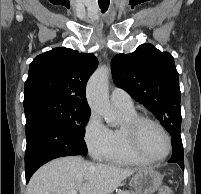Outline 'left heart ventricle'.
Here are the masks:
<instances>
[{
  "label": "left heart ventricle",
  "instance_id": "1",
  "mask_svg": "<svg viewBox=\"0 0 201 194\" xmlns=\"http://www.w3.org/2000/svg\"><path fill=\"white\" fill-rule=\"evenodd\" d=\"M139 144L142 151L152 158L162 157L168 148L164 134L150 123H146L142 126L139 135Z\"/></svg>",
  "mask_w": 201,
  "mask_h": 194
}]
</instances>
